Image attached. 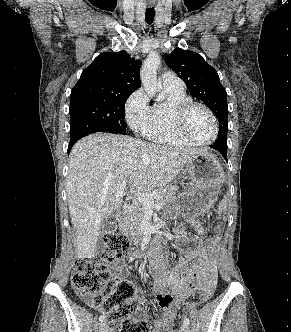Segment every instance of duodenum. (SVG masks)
I'll return each mask as SVG.
<instances>
[{"label": "duodenum", "mask_w": 291, "mask_h": 332, "mask_svg": "<svg viewBox=\"0 0 291 332\" xmlns=\"http://www.w3.org/2000/svg\"><path fill=\"white\" fill-rule=\"evenodd\" d=\"M152 254H153V250L147 248L146 246H143V247L141 248V250L138 252V255H139L140 257L150 256V255H152Z\"/></svg>", "instance_id": "duodenum-1"}]
</instances>
